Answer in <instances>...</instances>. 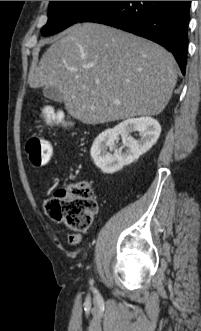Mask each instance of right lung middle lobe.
<instances>
[{"instance_id": "obj_1", "label": "right lung middle lobe", "mask_w": 201, "mask_h": 331, "mask_svg": "<svg viewBox=\"0 0 201 331\" xmlns=\"http://www.w3.org/2000/svg\"><path fill=\"white\" fill-rule=\"evenodd\" d=\"M106 1H50L48 22L42 28L43 36L58 33L79 22Z\"/></svg>"}]
</instances>
